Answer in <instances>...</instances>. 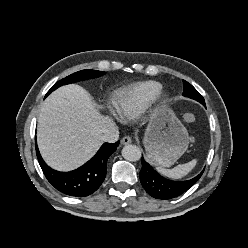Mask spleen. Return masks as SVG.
Returning a JSON list of instances; mask_svg holds the SVG:
<instances>
[{
    "instance_id": "3e777b00",
    "label": "spleen",
    "mask_w": 248,
    "mask_h": 248,
    "mask_svg": "<svg viewBox=\"0 0 248 248\" xmlns=\"http://www.w3.org/2000/svg\"><path fill=\"white\" fill-rule=\"evenodd\" d=\"M196 164L197 160L193 159L192 161L185 164H180L173 169H165L158 167L157 171L168 178L180 179L186 176L196 166Z\"/></svg>"
}]
</instances>
